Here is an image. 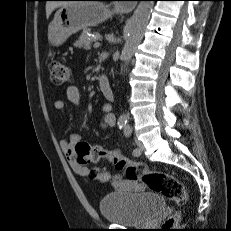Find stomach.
Segmentation results:
<instances>
[{
    "label": "stomach",
    "mask_w": 231,
    "mask_h": 231,
    "mask_svg": "<svg viewBox=\"0 0 231 231\" xmlns=\"http://www.w3.org/2000/svg\"><path fill=\"white\" fill-rule=\"evenodd\" d=\"M118 9L101 2H72L60 7L48 27V40L54 46L63 44L69 36L88 27L96 26Z\"/></svg>",
    "instance_id": "1"
}]
</instances>
